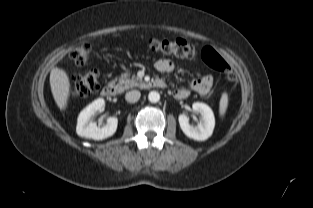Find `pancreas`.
Listing matches in <instances>:
<instances>
[{"mask_svg": "<svg viewBox=\"0 0 313 208\" xmlns=\"http://www.w3.org/2000/svg\"><path fill=\"white\" fill-rule=\"evenodd\" d=\"M141 83H142V80L135 76H132V78L130 79L128 73L122 74L118 80V84L122 90L140 86Z\"/></svg>", "mask_w": 313, "mask_h": 208, "instance_id": "cf45deb5", "label": "pancreas"}]
</instances>
